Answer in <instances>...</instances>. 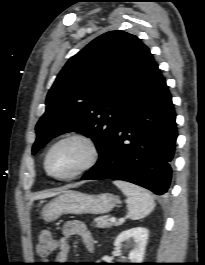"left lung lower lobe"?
I'll return each instance as SVG.
<instances>
[{
  "mask_svg": "<svg viewBox=\"0 0 205 265\" xmlns=\"http://www.w3.org/2000/svg\"><path fill=\"white\" fill-rule=\"evenodd\" d=\"M171 94L158 65L120 115L108 145L82 180H124L168 193L177 128Z\"/></svg>",
  "mask_w": 205,
  "mask_h": 265,
  "instance_id": "1",
  "label": "left lung lower lobe"
}]
</instances>
